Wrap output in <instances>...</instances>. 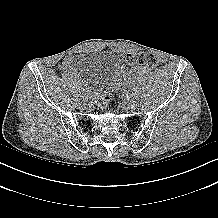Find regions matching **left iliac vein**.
I'll return each instance as SVG.
<instances>
[{
	"mask_svg": "<svg viewBox=\"0 0 218 218\" xmlns=\"http://www.w3.org/2000/svg\"><path fill=\"white\" fill-rule=\"evenodd\" d=\"M125 106L130 108L132 106L131 101L130 100H125Z\"/></svg>",
	"mask_w": 218,
	"mask_h": 218,
	"instance_id": "4c4485c4",
	"label": "left iliac vein"
}]
</instances>
